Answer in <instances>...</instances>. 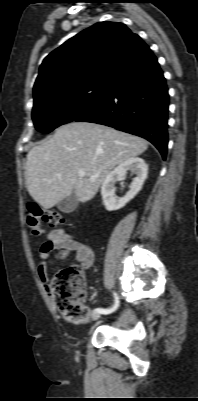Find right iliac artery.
I'll return each mask as SVG.
<instances>
[{
    "label": "right iliac artery",
    "mask_w": 198,
    "mask_h": 401,
    "mask_svg": "<svg viewBox=\"0 0 198 401\" xmlns=\"http://www.w3.org/2000/svg\"><path fill=\"white\" fill-rule=\"evenodd\" d=\"M114 297H115V304L113 305V307L108 308V309L96 308L95 311L99 312L101 314H110V313L114 312L119 305V300H118V296L116 293H114Z\"/></svg>",
    "instance_id": "right-iliac-artery-1"
}]
</instances>
